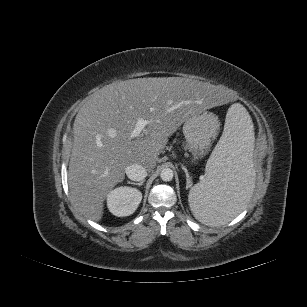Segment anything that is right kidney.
<instances>
[{"instance_id": "1", "label": "right kidney", "mask_w": 307, "mask_h": 307, "mask_svg": "<svg viewBox=\"0 0 307 307\" xmlns=\"http://www.w3.org/2000/svg\"><path fill=\"white\" fill-rule=\"evenodd\" d=\"M142 200V193L136 188L121 186L111 190L107 195L109 211L118 217L133 214Z\"/></svg>"}]
</instances>
